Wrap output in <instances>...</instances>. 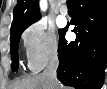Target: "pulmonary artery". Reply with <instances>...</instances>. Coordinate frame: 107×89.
I'll use <instances>...</instances> for the list:
<instances>
[{"instance_id": "obj_1", "label": "pulmonary artery", "mask_w": 107, "mask_h": 89, "mask_svg": "<svg viewBox=\"0 0 107 89\" xmlns=\"http://www.w3.org/2000/svg\"><path fill=\"white\" fill-rule=\"evenodd\" d=\"M60 13H61L62 15H67V14H68V8H67L65 5H62V6L60 7Z\"/></svg>"}]
</instances>
